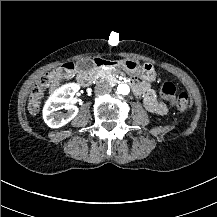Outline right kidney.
<instances>
[{
    "label": "right kidney",
    "mask_w": 217,
    "mask_h": 217,
    "mask_svg": "<svg viewBox=\"0 0 217 217\" xmlns=\"http://www.w3.org/2000/svg\"><path fill=\"white\" fill-rule=\"evenodd\" d=\"M79 89V84L68 83L62 85L48 98L43 107V119L50 128L62 127L77 115L79 109L71 103V100ZM60 104H64L66 113L58 109Z\"/></svg>",
    "instance_id": "1"
}]
</instances>
